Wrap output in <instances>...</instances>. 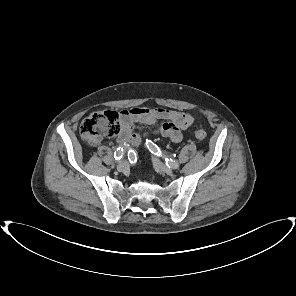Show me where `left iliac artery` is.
<instances>
[{"mask_svg": "<svg viewBox=\"0 0 296 296\" xmlns=\"http://www.w3.org/2000/svg\"><path fill=\"white\" fill-rule=\"evenodd\" d=\"M146 146L148 147V149L154 153L155 155L157 156H161L162 157V152L160 151V149L158 148V146L156 144H154L152 141L150 140H146ZM166 161V165L170 168H173V169H177L179 167V164L173 160V159H169V158H166L165 159Z\"/></svg>", "mask_w": 296, "mask_h": 296, "instance_id": "1", "label": "left iliac artery"}]
</instances>
